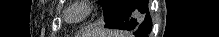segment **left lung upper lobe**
<instances>
[{
	"mask_svg": "<svg viewBox=\"0 0 219 37\" xmlns=\"http://www.w3.org/2000/svg\"><path fill=\"white\" fill-rule=\"evenodd\" d=\"M103 7L104 21L107 23L120 0H99Z\"/></svg>",
	"mask_w": 219,
	"mask_h": 37,
	"instance_id": "5c2ea615",
	"label": "left lung upper lobe"
}]
</instances>
